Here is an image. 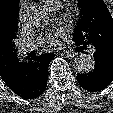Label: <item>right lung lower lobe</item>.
<instances>
[{
  "instance_id": "obj_1",
  "label": "right lung lower lobe",
  "mask_w": 113,
  "mask_h": 113,
  "mask_svg": "<svg viewBox=\"0 0 113 113\" xmlns=\"http://www.w3.org/2000/svg\"><path fill=\"white\" fill-rule=\"evenodd\" d=\"M53 54H42L20 62L16 71L6 81V85L18 96L25 99L39 97L45 91L48 80V66Z\"/></svg>"
}]
</instances>
